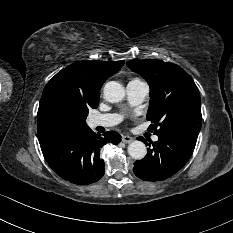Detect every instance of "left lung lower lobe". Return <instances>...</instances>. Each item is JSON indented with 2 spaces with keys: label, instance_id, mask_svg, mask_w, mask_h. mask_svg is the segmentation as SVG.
I'll list each match as a JSON object with an SVG mask.
<instances>
[{
  "label": "left lung lower lobe",
  "instance_id": "0a47b994",
  "mask_svg": "<svg viewBox=\"0 0 233 233\" xmlns=\"http://www.w3.org/2000/svg\"><path fill=\"white\" fill-rule=\"evenodd\" d=\"M200 126L189 125L164 135H157L158 141L149 143L147 155L134 163L133 171L145 181H162L178 172L191 157ZM139 140L147 142L144 138Z\"/></svg>",
  "mask_w": 233,
  "mask_h": 233
}]
</instances>
